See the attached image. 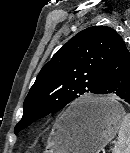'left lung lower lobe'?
<instances>
[{
    "mask_svg": "<svg viewBox=\"0 0 130 153\" xmlns=\"http://www.w3.org/2000/svg\"><path fill=\"white\" fill-rule=\"evenodd\" d=\"M97 94H114L130 104V52L123 40L103 72ZM87 114V108L75 112L78 117Z\"/></svg>",
    "mask_w": 130,
    "mask_h": 153,
    "instance_id": "obj_1",
    "label": "left lung lower lobe"
}]
</instances>
